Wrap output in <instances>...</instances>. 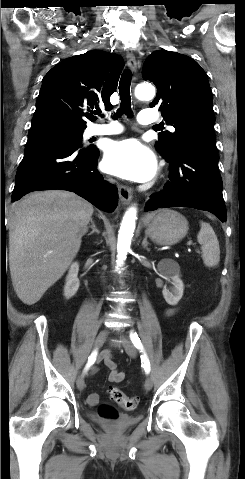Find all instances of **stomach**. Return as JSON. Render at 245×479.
<instances>
[{"label":"stomach","instance_id":"0dacf381","mask_svg":"<svg viewBox=\"0 0 245 479\" xmlns=\"http://www.w3.org/2000/svg\"><path fill=\"white\" fill-rule=\"evenodd\" d=\"M188 232V221L173 210H161L147 224L146 235L159 245H173L182 240Z\"/></svg>","mask_w":245,"mask_h":479}]
</instances>
